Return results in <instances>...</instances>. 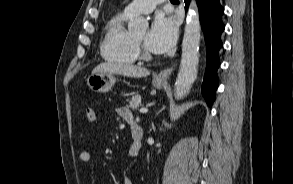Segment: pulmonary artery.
<instances>
[{"label":"pulmonary artery","mask_w":293,"mask_h":184,"mask_svg":"<svg viewBox=\"0 0 293 184\" xmlns=\"http://www.w3.org/2000/svg\"><path fill=\"white\" fill-rule=\"evenodd\" d=\"M164 1L165 0H133L125 7L124 13L129 16L147 14L152 12L158 4Z\"/></svg>","instance_id":"e3ab8cb5"}]
</instances>
